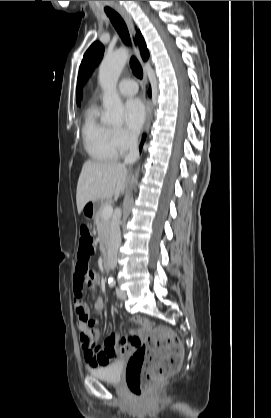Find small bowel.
I'll use <instances>...</instances> for the list:
<instances>
[{"instance_id": "small-bowel-1", "label": "small bowel", "mask_w": 271, "mask_h": 418, "mask_svg": "<svg viewBox=\"0 0 271 418\" xmlns=\"http://www.w3.org/2000/svg\"><path fill=\"white\" fill-rule=\"evenodd\" d=\"M98 282L97 270L91 269V261L77 260L76 271L73 277V303L76 307V322L78 323L84 358L92 367L104 366L125 355L140 343V337L132 333L123 337L114 333L102 345H97L101 333L98 328H95L96 320L89 319V306L85 305L83 297L86 287L95 288ZM103 308V298L100 295H96L94 297V309L99 312ZM131 322L141 325L145 324V321L139 317L131 318Z\"/></svg>"}]
</instances>
